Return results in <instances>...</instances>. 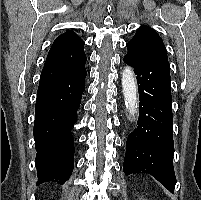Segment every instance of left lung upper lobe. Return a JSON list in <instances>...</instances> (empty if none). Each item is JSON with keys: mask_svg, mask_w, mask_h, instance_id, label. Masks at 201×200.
Wrapping results in <instances>:
<instances>
[{"mask_svg": "<svg viewBox=\"0 0 201 200\" xmlns=\"http://www.w3.org/2000/svg\"><path fill=\"white\" fill-rule=\"evenodd\" d=\"M127 56L140 62L167 61V53L160 36L150 27L141 26L127 44Z\"/></svg>", "mask_w": 201, "mask_h": 200, "instance_id": "obj_1", "label": "left lung upper lobe"}]
</instances>
